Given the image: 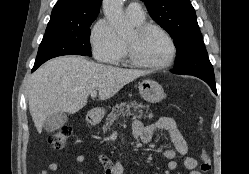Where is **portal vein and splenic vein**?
<instances>
[{"mask_svg": "<svg viewBox=\"0 0 249 174\" xmlns=\"http://www.w3.org/2000/svg\"><path fill=\"white\" fill-rule=\"evenodd\" d=\"M97 96V91H92L91 92V97L95 98Z\"/></svg>", "mask_w": 249, "mask_h": 174, "instance_id": "18ae733b", "label": "portal vein and splenic vein"}]
</instances>
